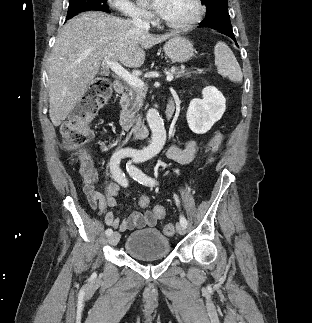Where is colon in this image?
I'll return each mask as SVG.
<instances>
[{
  "label": "colon",
  "mask_w": 312,
  "mask_h": 323,
  "mask_svg": "<svg viewBox=\"0 0 312 323\" xmlns=\"http://www.w3.org/2000/svg\"><path fill=\"white\" fill-rule=\"evenodd\" d=\"M112 99L111 85L106 77L95 78L89 85L81 99L79 106L73 111L72 118L65 122L62 127L64 136V147L67 151L72 152L81 162L84 168H89L91 163L88 161L86 145L92 139L93 133L89 124L97 113L98 109L107 105ZM224 138V132L218 131L210 140L208 147L209 158L211 162L218 152V148ZM150 205V199L147 196L139 198V206L146 208ZM155 213H164V206H155ZM163 232L166 235H173L175 227L172 223H166L163 226Z\"/></svg>",
  "instance_id": "colon-1"
}]
</instances>
